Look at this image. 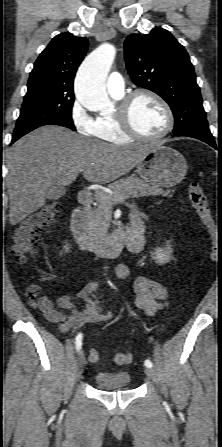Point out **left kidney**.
<instances>
[{"instance_id":"obj_1","label":"left kidney","mask_w":222,"mask_h":447,"mask_svg":"<svg viewBox=\"0 0 222 447\" xmlns=\"http://www.w3.org/2000/svg\"><path fill=\"white\" fill-rule=\"evenodd\" d=\"M173 249L169 242H166V246L164 248H156L153 253V259L158 265H164L168 263L172 257Z\"/></svg>"}]
</instances>
